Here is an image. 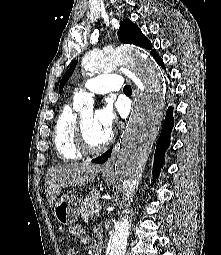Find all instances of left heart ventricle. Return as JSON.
Instances as JSON below:
<instances>
[{"mask_svg": "<svg viewBox=\"0 0 221 255\" xmlns=\"http://www.w3.org/2000/svg\"><path fill=\"white\" fill-rule=\"evenodd\" d=\"M83 124L87 140L91 146L98 147L109 137V133L97 123L93 111H88L83 116Z\"/></svg>", "mask_w": 221, "mask_h": 255, "instance_id": "1", "label": "left heart ventricle"}]
</instances>
